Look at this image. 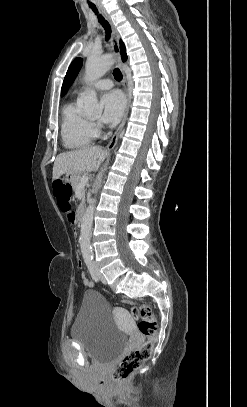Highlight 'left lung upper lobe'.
Returning a JSON list of instances; mask_svg holds the SVG:
<instances>
[{
  "label": "left lung upper lobe",
  "instance_id": "obj_1",
  "mask_svg": "<svg viewBox=\"0 0 247 407\" xmlns=\"http://www.w3.org/2000/svg\"><path fill=\"white\" fill-rule=\"evenodd\" d=\"M82 58H76L71 65L69 66V69L66 73V76L63 81L62 85V90H61V95L64 96L69 87L72 85L73 81L75 80L76 76L78 75L81 67H82Z\"/></svg>",
  "mask_w": 247,
  "mask_h": 407
}]
</instances>
